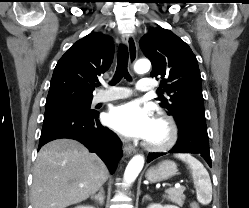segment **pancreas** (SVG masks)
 I'll return each mask as SVG.
<instances>
[{"instance_id": "cf45deb5", "label": "pancreas", "mask_w": 249, "mask_h": 208, "mask_svg": "<svg viewBox=\"0 0 249 208\" xmlns=\"http://www.w3.org/2000/svg\"><path fill=\"white\" fill-rule=\"evenodd\" d=\"M184 188L171 189L168 191V195L165 196L168 200L173 203L182 206L184 204L185 195L183 194Z\"/></svg>"}]
</instances>
